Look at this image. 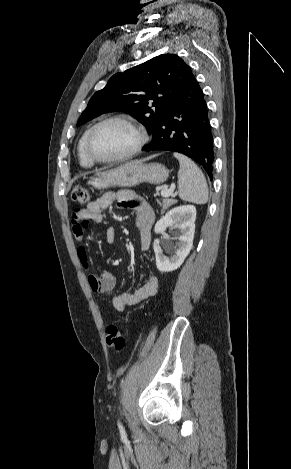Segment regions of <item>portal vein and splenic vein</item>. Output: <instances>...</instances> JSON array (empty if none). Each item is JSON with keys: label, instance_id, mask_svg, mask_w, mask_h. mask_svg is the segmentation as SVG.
<instances>
[{"label": "portal vein and splenic vein", "instance_id": "portal-vein-and-splenic-vein-1", "mask_svg": "<svg viewBox=\"0 0 291 469\" xmlns=\"http://www.w3.org/2000/svg\"><path fill=\"white\" fill-rule=\"evenodd\" d=\"M174 189H175V185L172 184L171 187H170V189L164 188V189L161 191V195H162L163 197H169V196L173 195Z\"/></svg>", "mask_w": 291, "mask_h": 469}]
</instances>
